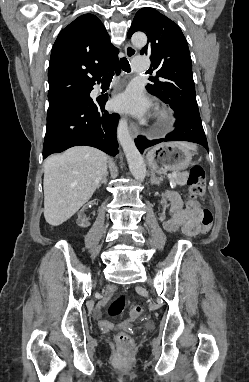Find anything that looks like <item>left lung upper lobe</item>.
Listing matches in <instances>:
<instances>
[{
	"mask_svg": "<svg viewBox=\"0 0 249 382\" xmlns=\"http://www.w3.org/2000/svg\"><path fill=\"white\" fill-rule=\"evenodd\" d=\"M136 31L147 34L148 43L140 51L151 59L150 79L146 89L168 104L175 113H198L192 63L187 41L178 25L153 8L140 9L128 37Z\"/></svg>",
	"mask_w": 249,
	"mask_h": 382,
	"instance_id": "left-lung-upper-lobe-1",
	"label": "left lung upper lobe"
}]
</instances>
